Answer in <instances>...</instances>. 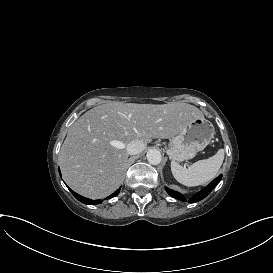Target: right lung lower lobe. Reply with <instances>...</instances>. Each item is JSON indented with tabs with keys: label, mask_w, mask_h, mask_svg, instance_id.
<instances>
[{
	"label": "right lung lower lobe",
	"mask_w": 273,
	"mask_h": 273,
	"mask_svg": "<svg viewBox=\"0 0 273 273\" xmlns=\"http://www.w3.org/2000/svg\"><path fill=\"white\" fill-rule=\"evenodd\" d=\"M59 173H60V170H59ZM61 175V173H60ZM68 187V186H67ZM68 189L72 192V194L75 196L76 199H78L80 202L84 203V204H96L98 203V201H93L91 199H87V198H84L82 196H80L79 194L75 193L74 191H72L69 187ZM120 190H116L112 195H110L108 198H111V197H115L119 194Z\"/></svg>",
	"instance_id": "1"
}]
</instances>
